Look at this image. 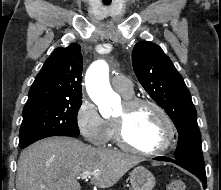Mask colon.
Returning a JSON list of instances; mask_svg holds the SVG:
<instances>
[{
	"label": "colon",
	"mask_w": 221,
	"mask_h": 190,
	"mask_svg": "<svg viewBox=\"0 0 221 190\" xmlns=\"http://www.w3.org/2000/svg\"><path fill=\"white\" fill-rule=\"evenodd\" d=\"M166 190H186V184L182 180H174L167 184Z\"/></svg>",
	"instance_id": "5ec220e1"
}]
</instances>
